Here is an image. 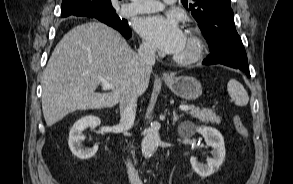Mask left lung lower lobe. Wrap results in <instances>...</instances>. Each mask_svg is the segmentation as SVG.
Returning a JSON list of instances; mask_svg holds the SVG:
<instances>
[{
    "label": "left lung lower lobe",
    "instance_id": "left-lung-lower-lobe-1",
    "mask_svg": "<svg viewBox=\"0 0 293 184\" xmlns=\"http://www.w3.org/2000/svg\"><path fill=\"white\" fill-rule=\"evenodd\" d=\"M219 52L209 55L203 64H224L238 68L250 77L246 52L238 34L226 36L219 45Z\"/></svg>",
    "mask_w": 293,
    "mask_h": 184
}]
</instances>
